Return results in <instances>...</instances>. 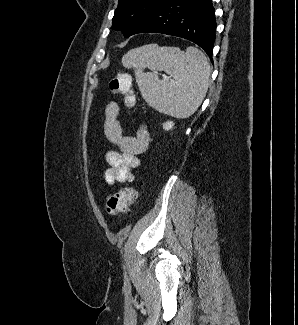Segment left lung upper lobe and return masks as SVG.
<instances>
[{
    "instance_id": "1",
    "label": "left lung upper lobe",
    "mask_w": 298,
    "mask_h": 325,
    "mask_svg": "<svg viewBox=\"0 0 298 325\" xmlns=\"http://www.w3.org/2000/svg\"><path fill=\"white\" fill-rule=\"evenodd\" d=\"M165 0H119L113 17L112 28L122 30L125 37L131 36L151 13Z\"/></svg>"
}]
</instances>
